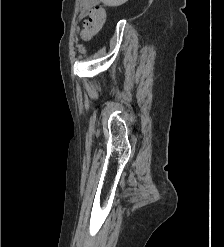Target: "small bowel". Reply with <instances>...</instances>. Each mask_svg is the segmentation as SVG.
<instances>
[{
    "mask_svg": "<svg viewBox=\"0 0 224 247\" xmlns=\"http://www.w3.org/2000/svg\"><path fill=\"white\" fill-rule=\"evenodd\" d=\"M100 0H81L80 3V17L87 16L89 14V9L97 5Z\"/></svg>",
    "mask_w": 224,
    "mask_h": 247,
    "instance_id": "small-bowel-1",
    "label": "small bowel"
}]
</instances>
